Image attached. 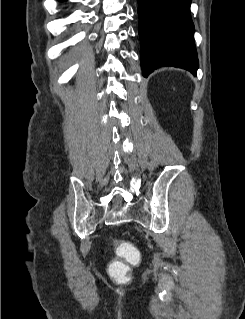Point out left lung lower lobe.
Returning <instances> with one entry per match:
<instances>
[{
  "instance_id": "1",
  "label": "left lung lower lobe",
  "mask_w": 245,
  "mask_h": 319,
  "mask_svg": "<svg viewBox=\"0 0 245 319\" xmlns=\"http://www.w3.org/2000/svg\"><path fill=\"white\" fill-rule=\"evenodd\" d=\"M190 5L191 0H138L143 76L163 66L196 75L199 65Z\"/></svg>"
}]
</instances>
